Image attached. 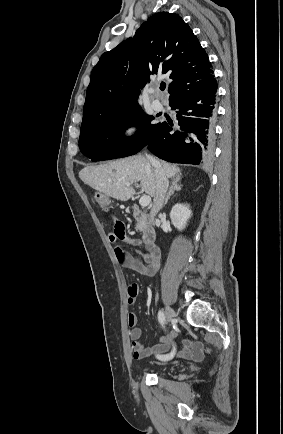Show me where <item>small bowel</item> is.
Masks as SVG:
<instances>
[{"instance_id":"small-bowel-1","label":"small bowel","mask_w":283,"mask_h":434,"mask_svg":"<svg viewBox=\"0 0 283 434\" xmlns=\"http://www.w3.org/2000/svg\"><path fill=\"white\" fill-rule=\"evenodd\" d=\"M108 240L110 242L124 241L134 247H140L142 245L139 239L132 238L126 233L123 222L119 220H115L114 229L109 233ZM138 253L143 258V261L133 256L131 253L124 251L121 247L115 248L116 258L123 267L136 271L144 276H153L159 267L160 252L158 248L147 247L145 251H138ZM138 292L139 287L136 283H130L128 285L127 302L129 305L135 302ZM127 321L131 328L129 337L134 359L140 360L149 356L157 357L158 355H166L170 350H176L175 343L172 340L176 336V331H172L169 336L161 337L155 344L147 347L139 341L142 336V330L137 327L136 315L132 312L129 313ZM201 355L202 349L198 342L188 338L183 340L182 348L178 351V357L183 359H199Z\"/></svg>"}]
</instances>
